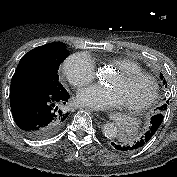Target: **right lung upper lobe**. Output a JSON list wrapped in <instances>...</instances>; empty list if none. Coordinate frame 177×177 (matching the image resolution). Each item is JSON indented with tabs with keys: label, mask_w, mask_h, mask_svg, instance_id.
<instances>
[{
	"label": "right lung upper lobe",
	"mask_w": 177,
	"mask_h": 177,
	"mask_svg": "<svg viewBox=\"0 0 177 177\" xmlns=\"http://www.w3.org/2000/svg\"><path fill=\"white\" fill-rule=\"evenodd\" d=\"M59 44H60V42L50 43V44H46V45L37 47V48H35V49L31 50V51L37 50L38 48L39 49H43V50H49V49H51L53 47H57Z\"/></svg>",
	"instance_id": "cb5924a9"
}]
</instances>
